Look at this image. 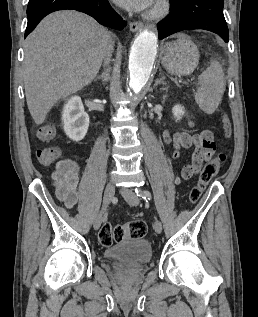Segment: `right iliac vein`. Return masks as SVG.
Here are the masks:
<instances>
[{
  "label": "right iliac vein",
  "instance_id": "63e3f726",
  "mask_svg": "<svg viewBox=\"0 0 258 317\" xmlns=\"http://www.w3.org/2000/svg\"><path fill=\"white\" fill-rule=\"evenodd\" d=\"M104 198L102 200V210L101 213H99V215L95 216V220H94V226L100 227L102 224V213H104V210L107 209L111 203V199L114 197L115 195V184L114 182H110L104 189L103 192Z\"/></svg>",
  "mask_w": 258,
  "mask_h": 317
}]
</instances>
